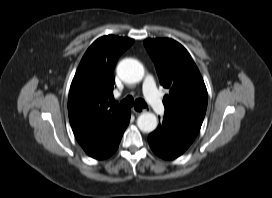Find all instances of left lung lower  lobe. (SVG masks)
<instances>
[{
  "label": "left lung lower lobe",
  "instance_id": "left-lung-lower-lobe-1",
  "mask_svg": "<svg viewBox=\"0 0 272 198\" xmlns=\"http://www.w3.org/2000/svg\"><path fill=\"white\" fill-rule=\"evenodd\" d=\"M200 128V125L165 114L162 123L149 134L148 142L156 155L172 160L187 150Z\"/></svg>",
  "mask_w": 272,
  "mask_h": 198
}]
</instances>
